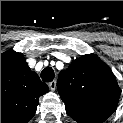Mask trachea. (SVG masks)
Wrapping results in <instances>:
<instances>
[{
    "label": "trachea",
    "instance_id": "3493384b",
    "mask_svg": "<svg viewBox=\"0 0 123 123\" xmlns=\"http://www.w3.org/2000/svg\"><path fill=\"white\" fill-rule=\"evenodd\" d=\"M41 78L44 82H51L54 79V70L51 67H46L41 72Z\"/></svg>",
    "mask_w": 123,
    "mask_h": 123
}]
</instances>
